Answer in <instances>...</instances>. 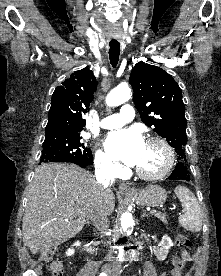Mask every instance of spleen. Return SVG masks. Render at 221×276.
I'll use <instances>...</instances> for the list:
<instances>
[{"label": "spleen", "instance_id": "1", "mask_svg": "<svg viewBox=\"0 0 221 276\" xmlns=\"http://www.w3.org/2000/svg\"><path fill=\"white\" fill-rule=\"evenodd\" d=\"M185 214L178 218L179 224L191 232H199L202 229V212L195 195L184 186H177L174 190Z\"/></svg>", "mask_w": 221, "mask_h": 276}]
</instances>
